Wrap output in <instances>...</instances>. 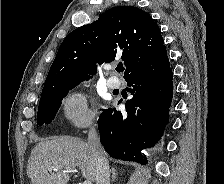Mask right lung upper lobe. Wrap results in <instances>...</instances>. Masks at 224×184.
<instances>
[{"mask_svg": "<svg viewBox=\"0 0 224 184\" xmlns=\"http://www.w3.org/2000/svg\"><path fill=\"white\" fill-rule=\"evenodd\" d=\"M119 56L126 66L125 80L169 63L159 27L139 8L114 7L72 31L59 47L41 98L90 79L96 63L112 62Z\"/></svg>", "mask_w": 224, "mask_h": 184, "instance_id": "obj_1", "label": "right lung upper lobe"}]
</instances>
